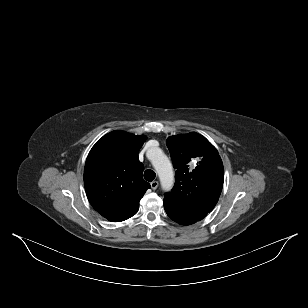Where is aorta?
<instances>
[{"mask_svg": "<svg viewBox=\"0 0 308 308\" xmlns=\"http://www.w3.org/2000/svg\"><path fill=\"white\" fill-rule=\"evenodd\" d=\"M151 161L158 173L162 188L169 190L174 183L173 168L170 160L157 148L152 153Z\"/></svg>", "mask_w": 308, "mask_h": 308, "instance_id": "obj_1", "label": "aorta"}]
</instances>
